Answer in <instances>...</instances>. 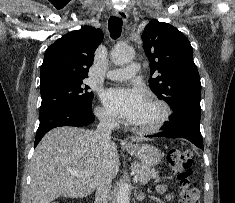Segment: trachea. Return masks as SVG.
<instances>
[{
	"mask_svg": "<svg viewBox=\"0 0 235 203\" xmlns=\"http://www.w3.org/2000/svg\"><path fill=\"white\" fill-rule=\"evenodd\" d=\"M122 19L119 17H110L108 21V28L110 32V36L113 39H117L122 31Z\"/></svg>",
	"mask_w": 235,
	"mask_h": 203,
	"instance_id": "trachea-1",
	"label": "trachea"
}]
</instances>
